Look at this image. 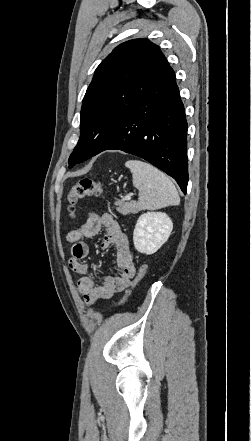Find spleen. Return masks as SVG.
I'll use <instances>...</instances> for the list:
<instances>
[{
  "label": "spleen",
  "mask_w": 251,
  "mask_h": 441,
  "mask_svg": "<svg viewBox=\"0 0 251 441\" xmlns=\"http://www.w3.org/2000/svg\"><path fill=\"white\" fill-rule=\"evenodd\" d=\"M133 185L139 190V203L143 209H160L179 205L180 197L172 181L159 169L140 160H128Z\"/></svg>",
  "instance_id": "1"
}]
</instances>
